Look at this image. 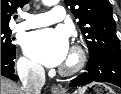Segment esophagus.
I'll return each mask as SVG.
<instances>
[{"label": "esophagus", "instance_id": "obj_1", "mask_svg": "<svg viewBox=\"0 0 121 94\" xmlns=\"http://www.w3.org/2000/svg\"><path fill=\"white\" fill-rule=\"evenodd\" d=\"M51 92H52L53 94H65V91H64L62 88H60V87H58V86H55V85H53V86L51 87Z\"/></svg>", "mask_w": 121, "mask_h": 94}]
</instances>
